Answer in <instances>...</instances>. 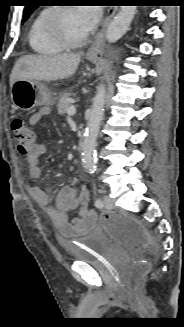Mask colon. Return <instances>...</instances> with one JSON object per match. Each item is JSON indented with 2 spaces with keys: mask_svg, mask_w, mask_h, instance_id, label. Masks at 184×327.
Returning <instances> with one entry per match:
<instances>
[{
  "mask_svg": "<svg viewBox=\"0 0 184 327\" xmlns=\"http://www.w3.org/2000/svg\"><path fill=\"white\" fill-rule=\"evenodd\" d=\"M11 130L18 151L21 154H29L36 146V134L34 130L22 119H15L11 124ZM102 221L107 225L110 234L117 240L133 247L144 248L150 243L147 232L140 223L130 217L119 214H105ZM148 270V263L144 258H139L133 267L134 292L137 295L140 282Z\"/></svg>",
  "mask_w": 184,
  "mask_h": 327,
  "instance_id": "obj_1",
  "label": "colon"
}]
</instances>
